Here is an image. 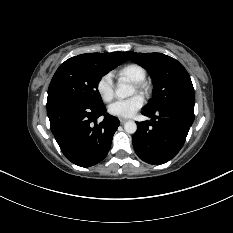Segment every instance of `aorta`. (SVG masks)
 <instances>
[{"mask_svg": "<svg viewBox=\"0 0 233 233\" xmlns=\"http://www.w3.org/2000/svg\"><path fill=\"white\" fill-rule=\"evenodd\" d=\"M115 93L118 98H127L134 94V88L129 84L119 83ZM124 130L128 134H134L137 130V124L131 120L127 121L124 124Z\"/></svg>", "mask_w": 233, "mask_h": 233, "instance_id": "762f6f07", "label": "aorta"}]
</instances>
